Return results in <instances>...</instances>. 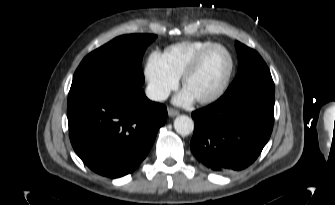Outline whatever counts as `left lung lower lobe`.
Instances as JSON below:
<instances>
[{
	"label": "left lung lower lobe",
	"mask_w": 335,
	"mask_h": 205,
	"mask_svg": "<svg viewBox=\"0 0 335 205\" xmlns=\"http://www.w3.org/2000/svg\"><path fill=\"white\" fill-rule=\"evenodd\" d=\"M274 102L272 92L244 88L225 92L215 103L194 111L193 155L217 172L245 169L270 138Z\"/></svg>",
	"instance_id": "0a47b994"
}]
</instances>
